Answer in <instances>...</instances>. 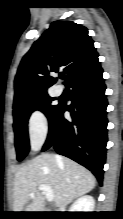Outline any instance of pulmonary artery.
Segmentation results:
<instances>
[{
	"instance_id": "obj_1",
	"label": "pulmonary artery",
	"mask_w": 123,
	"mask_h": 219,
	"mask_svg": "<svg viewBox=\"0 0 123 219\" xmlns=\"http://www.w3.org/2000/svg\"><path fill=\"white\" fill-rule=\"evenodd\" d=\"M54 92L56 95H61L63 92V89L60 86L55 87Z\"/></svg>"
}]
</instances>
